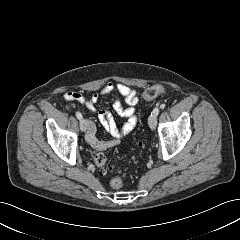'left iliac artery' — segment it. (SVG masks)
<instances>
[{
  "mask_svg": "<svg viewBox=\"0 0 240 240\" xmlns=\"http://www.w3.org/2000/svg\"><path fill=\"white\" fill-rule=\"evenodd\" d=\"M158 114H159V108L156 107V108H154L153 112L151 113V116H152V115H153V116H157Z\"/></svg>",
  "mask_w": 240,
  "mask_h": 240,
  "instance_id": "left-iliac-artery-1",
  "label": "left iliac artery"
}]
</instances>
